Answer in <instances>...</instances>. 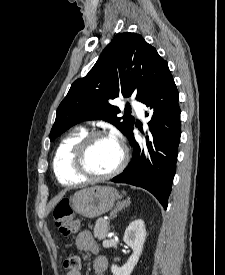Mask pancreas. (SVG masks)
Masks as SVG:
<instances>
[{"instance_id":"obj_1","label":"pancreas","mask_w":225,"mask_h":275,"mask_svg":"<svg viewBox=\"0 0 225 275\" xmlns=\"http://www.w3.org/2000/svg\"><path fill=\"white\" fill-rule=\"evenodd\" d=\"M108 222L104 219H98L96 221L93 234L98 240H104L108 233Z\"/></svg>"}]
</instances>
